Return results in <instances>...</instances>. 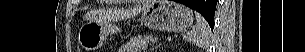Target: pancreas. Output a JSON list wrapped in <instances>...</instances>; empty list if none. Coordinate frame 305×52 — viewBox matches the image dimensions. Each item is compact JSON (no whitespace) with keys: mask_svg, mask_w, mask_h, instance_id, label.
I'll list each match as a JSON object with an SVG mask.
<instances>
[{"mask_svg":"<svg viewBox=\"0 0 305 52\" xmlns=\"http://www.w3.org/2000/svg\"><path fill=\"white\" fill-rule=\"evenodd\" d=\"M152 37L150 35H137L131 37L129 41L122 47L126 52H141L151 44Z\"/></svg>","mask_w":305,"mask_h":52,"instance_id":"obj_1","label":"pancreas"}]
</instances>
